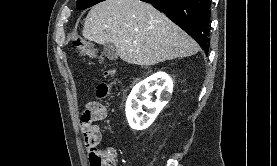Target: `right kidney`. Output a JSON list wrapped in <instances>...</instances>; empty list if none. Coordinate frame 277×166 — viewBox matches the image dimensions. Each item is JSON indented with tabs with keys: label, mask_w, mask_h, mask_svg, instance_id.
<instances>
[{
	"label": "right kidney",
	"mask_w": 277,
	"mask_h": 166,
	"mask_svg": "<svg viewBox=\"0 0 277 166\" xmlns=\"http://www.w3.org/2000/svg\"><path fill=\"white\" fill-rule=\"evenodd\" d=\"M155 90L157 99L152 101L151 93ZM172 90L173 82L164 72L155 73L138 83L132 89L126 102L125 111L130 127L135 130L148 128L168 103ZM143 105L147 107L148 112L142 111ZM139 112H143V115H139Z\"/></svg>",
	"instance_id": "ca27d5eb"
}]
</instances>
